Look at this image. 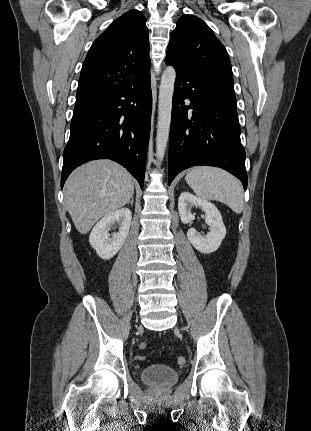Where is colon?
Returning a JSON list of instances; mask_svg holds the SVG:
<instances>
[{"instance_id":"1","label":"colon","mask_w":311,"mask_h":431,"mask_svg":"<svg viewBox=\"0 0 311 431\" xmlns=\"http://www.w3.org/2000/svg\"><path fill=\"white\" fill-rule=\"evenodd\" d=\"M139 347H140V349H146L147 348V344L144 343V342H142V343H140ZM135 358L138 361H144L146 359V357L144 355H137ZM177 363L179 365H181V366L184 365L186 363V358L183 357V356L178 357L177 358Z\"/></svg>"}]
</instances>
